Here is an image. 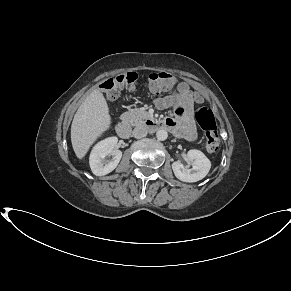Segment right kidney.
Segmentation results:
<instances>
[{
    "instance_id": "ca27d5eb",
    "label": "right kidney",
    "mask_w": 291,
    "mask_h": 291,
    "mask_svg": "<svg viewBox=\"0 0 291 291\" xmlns=\"http://www.w3.org/2000/svg\"><path fill=\"white\" fill-rule=\"evenodd\" d=\"M118 139L110 137L97 143L89 158L92 172L97 176H104L112 172L122 158V151L115 148ZM112 155V159L108 157Z\"/></svg>"
}]
</instances>
